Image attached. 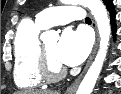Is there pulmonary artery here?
I'll return each instance as SVG.
<instances>
[{
  "instance_id": "1",
  "label": "pulmonary artery",
  "mask_w": 121,
  "mask_h": 94,
  "mask_svg": "<svg viewBox=\"0 0 121 94\" xmlns=\"http://www.w3.org/2000/svg\"><path fill=\"white\" fill-rule=\"evenodd\" d=\"M37 21L48 28L53 25H64L71 21L84 19V12L79 6H59L42 10L36 15Z\"/></svg>"
}]
</instances>
